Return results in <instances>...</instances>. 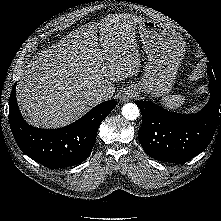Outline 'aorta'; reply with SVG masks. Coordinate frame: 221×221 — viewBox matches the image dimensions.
I'll return each instance as SVG.
<instances>
[{
    "label": "aorta",
    "mask_w": 221,
    "mask_h": 221,
    "mask_svg": "<svg viewBox=\"0 0 221 221\" xmlns=\"http://www.w3.org/2000/svg\"><path fill=\"white\" fill-rule=\"evenodd\" d=\"M140 110L134 103H126L122 107V115L127 120H136L139 117Z\"/></svg>",
    "instance_id": "1"
}]
</instances>
